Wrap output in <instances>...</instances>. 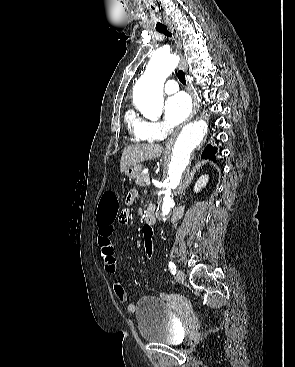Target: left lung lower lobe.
<instances>
[{
    "mask_svg": "<svg viewBox=\"0 0 295 367\" xmlns=\"http://www.w3.org/2000/svg\"><path fill=\"white\" fill-rule=\"evenodd\" d=\"M217 151V148L215 147H212L211 145H208L203 153H202V157L203 158H209V159H212L213 161L216 162V157H215V153Z\"/></svg>",
    "mask_w": 295,
    "mask_h": 367,
    "instance_id": "obj_1",
    "label": "left lung lower lobe"
}]
</instances>
